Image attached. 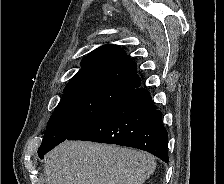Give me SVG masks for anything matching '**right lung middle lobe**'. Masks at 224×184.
<instances>
[{"instance_id": "1", "label": "right lung middle lobe", "mask_w": 224, "mask_h": 184, "mask_svg": "<svg viewBox=\"0 0 224 184\" xmlns=\"http://www.w3.org/2000/svg\"><path fill=\"white\" fill-rule=\"evenodd\" d=\"M131 90L108 82H90L65 90L48 121L38 154L94 122Z\"/></svg>"}]
</instances>
